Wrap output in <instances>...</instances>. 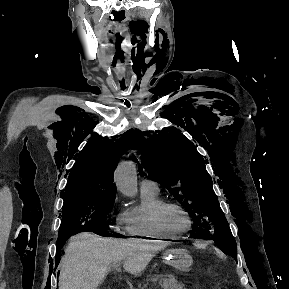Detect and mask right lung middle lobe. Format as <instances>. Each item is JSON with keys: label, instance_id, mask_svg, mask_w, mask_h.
Returning <instances> with one entry per match:
<instances>
[{"label": "right lung middle lobe", "instance_id": "1", "mask_svg": "<svg viewBox=\"0 0 289 289\" xmlns=\"http://www.w3.org/2000/svg\"><path fill=\"white\" fill-rule=\"evenodd\" d=\"M115 196L114 193H102L65 198L58 240L66 241L71 235L85 231L101 236L110 235L105 230L106 216Z\"/></svg>", "mask_w": 289, "mask_h": 289}]
</instances>
